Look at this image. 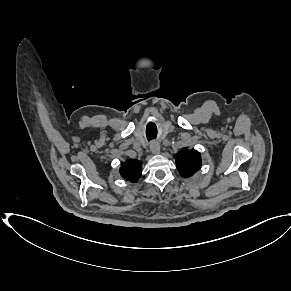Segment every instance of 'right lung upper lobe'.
<instances>
[{"label": "right lung upper lobe", "mask_w": 291, "mask_h": 291, "mask_svg": "<svg viewBox=\"0 0 291 291\" xmlns=\"http://www.w3.org/2000/svg\"><path fill=\"white\" fill-rule=\"evenodd\" d=\"M142 172V163L138 160H127L121 164L120 173L128 181L136 182Z\"/></svg>", "instance_id": "1"}]
</instances>
